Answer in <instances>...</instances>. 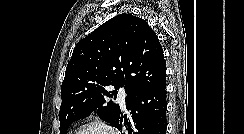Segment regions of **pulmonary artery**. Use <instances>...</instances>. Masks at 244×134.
<instances>
[{"label": "pulmonary artery", "mask_w": 244, "mask_h": 134, "mask_svg": "<svg viewBox=\"0 0 244 134\" xmlns=\"http://www.w3.org/2000/svg\"><path fill=\"white\" fill-rule=\"evenodd\" d=\"M125 97H126L125 91L122 87H120L118 89V102L123 108L125 107Z\"/></svg>", "instance_id": "obj_1"}]
</instances>
